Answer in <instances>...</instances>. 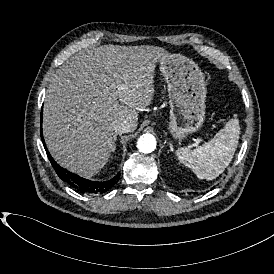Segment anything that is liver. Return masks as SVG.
Returning a JSON list of instances; mask_svg holds the SVG:
<instances>
[{"label":"liver","mask_w":274,"mask_h":274,"mask_svg":"<svg viewBox=\"0 0 274 274\" xmlns=\"http://www.w3.org/2000/svg\"><path fill=\"white\" fill-rule=\"evenodd\" d=\"M170 55L158 46L102 45L79 52L55 73L44 100L43 135L62 167L90 179L116 146L117 121L137 124L154 96L156 64Z\"/></svg>","instance_id":"6515ba94"}]
</instances>
